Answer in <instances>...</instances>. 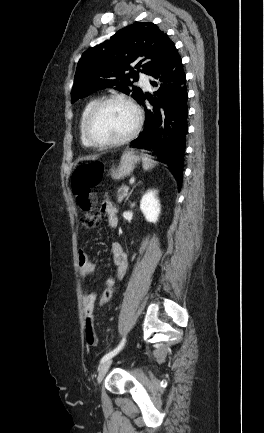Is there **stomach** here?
Returning a JSON list of instances; mask_svg holds the SVG:
<instances>
[{
    "label": "stomach",
    "instance_id": "obj_1",
    "mask_svg": "<svg viewBox=\"0 0 264 433\" xmlns=\"http://www.w3.org/2000/svg\"><path fill=\"white\" fill-rule=\"evenodd\" d=\"M138 162V157L133 151L126 150L122 156L119 165L111 169V177L115 180L123 179L129 176Z\"/></svg>",
    "mask_w": 264,
    "mask_h": 433
}]
</instances>
